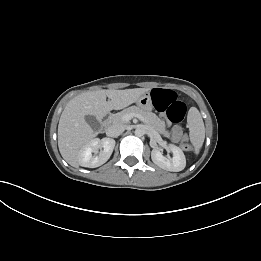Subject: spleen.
<instances>
[{
  "instance_id": "spleen-1",
  "label": "spleen",
  "mask_w": 261,
  "mask_h": 261,
  "mask_svg": "<svg viewBox=\"0 0 261 261\" xmlns=\"http://www.w3.org/2000/svg\"><path fill=\"white\" fill-rule=\"evenodd\" d=\"M190 125V140L196 148V154L201 148L205 138V128L202 117L197 109H191L188 117Z\"/></svg>"
}]
</instances>
